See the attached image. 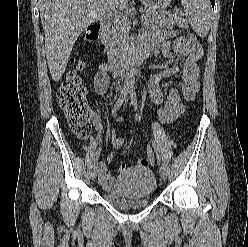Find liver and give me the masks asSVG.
Segmentation results:
<instances>
[{
    "mask_svg": "<svg viewBox=\"0 0 248 247\" xmlns=\"http://www.w3.org/2000/svg\"><path fill=\"white\" fill-rule=\"evenodd\" d=\"M128 0H39L45 53L52 79L58 82L83 30L104 15L124 10Z\"/></svg>",
    "mask_w": 248,
    "mask_h": 247,
    "instance_id": "liver-1",
    "label": "liver"
}]
</instances>
